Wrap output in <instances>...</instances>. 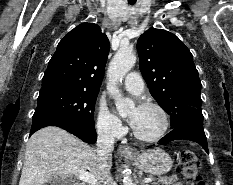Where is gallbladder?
<instances>
[{
  "label": "gallbladder",
  "instance_id": "bac80fb5",
  "mask_svg": "<svg viewBox=\"0 0 233 185\" xmlns=\"http://www.w3.org/2000/svg\"><path fill=\"white\" fill-rule=\"evenodd\" d=\"M46 185H74V184L58 178H54L51 181H49V183Z\"/></svg>",
  "mask_w": 233,
  "mask_h": 185
}]
</instances>
